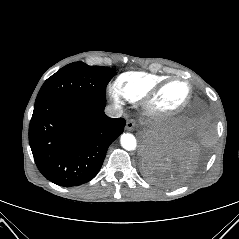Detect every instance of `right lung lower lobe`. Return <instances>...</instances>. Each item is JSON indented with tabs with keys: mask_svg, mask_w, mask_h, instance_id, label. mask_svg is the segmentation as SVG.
<instances>
[{
	"mask_svg": "<svg viewBox=\"0 0 239 239\" xmlns=\"http://www.w3.org/2000/svg\"><path fill=\"white\" fill-rule=\"evenodd\" d=\"M106 101L61 97L35 103L29 143L39 171L65 187L84 184L99 172L125 119L109 118Z\"/></svg>",
	"mask_w": 239,
	"mask_h": 239,
	"instance_id": "98d812e1",
	"label": "right lung lower lobe"
}]
</instances>
